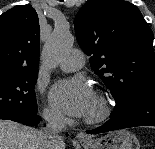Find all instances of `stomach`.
I'll list each match as a JSON object with an SVG mask.
<instances>
[{
    "label": "stomach",
    "mask_w": 155,
    "mask_h": 149,
    "mask_svg": "<svg viewBox=\"0 0 155 149\" xmlns=\"http://www.w3.org/2000/svg\"><path fill=\"white\" fill-rule=\"evenodd\" d=\"M85 149H140L138 139L128 130H117L106 135L82 142Z\"/></svg>",
    "instance_id": "0dacf381"
}]
</instances>
